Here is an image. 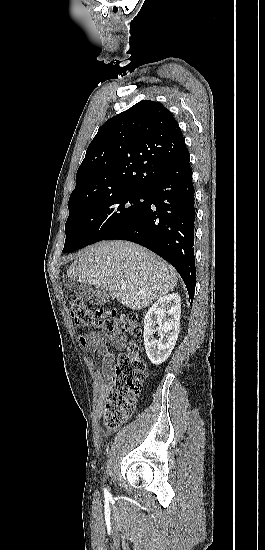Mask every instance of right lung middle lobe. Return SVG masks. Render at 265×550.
Listing matches in <instances>:
<instances>
[{"instance_id": "right-lung-middle-lobe-1", "label": "right lung middle lobe", "mask_w": 265, "mask_h": 550, "mask_svg": "<svg viewBox=\"0 0 265 550\" xmlns=\"http://www.w3.org/2000/svg\"><path fill=\"white\" fill-rule=\"evenodd\" d=\"M148 189L125 190L87 201L68 203L63 252L103 240L135 219L146 207Z\"/></svg>"}]
</instances>
